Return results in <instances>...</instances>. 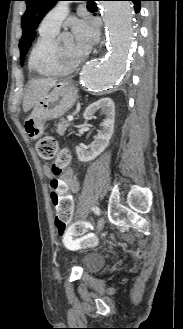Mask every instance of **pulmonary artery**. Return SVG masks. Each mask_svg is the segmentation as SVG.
<instances>
[{
	"mask_svg": "<svg viewBox=\"0 0 183 329\" xmlns=\"http://www.w3.org/2000/svg\"><path fill=\"white\" fill-rule=\"evenodd\" d=\"M69 7L67 3L60 2L52 8L43 18L39 31L57 33L63 20L69 14Z\"/></svg>",
	"mask_w": 183,
	"mask_h": 329,
	"instance_id": "1",
	"label": "pulmonary artery"
}]
</instances>
